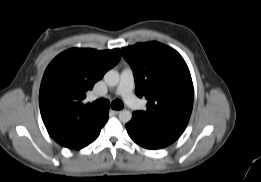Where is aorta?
Returning a JSON list of instances; mask_svg holds the SVG:
<instances>
[{
	"label": "aorta",
	"mask_w": 261,
	"mask_h": 182,
	"mask_svg": "<svg viewBox=\"0 0 261 182\" xmlns=\"http://www.w3.org/2000/svg\"><path fill=\"white\" fill-rule=\"evenodd\" d=\"M119 73L116 70H109L104 75V81L108 86H116L119 83ZM132 113L129 110H122L119 113V120L122 123H127L131 120Z\"/></svg>",
	"instance_id": "obj_1"
}]
</instances>
